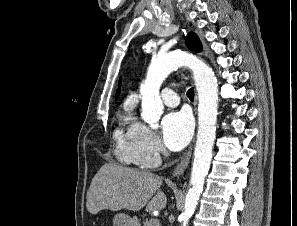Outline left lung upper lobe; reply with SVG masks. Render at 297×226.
I'll return each instance as SVG.
<instances>
[{
	"mask_svg": "<svg viewBox=\"0 0 297 226\" xmlns=\"http://www.w3.org/2000/svg\"><path fill=\"white\" fill-rule=\"evenodd\" d=\"M186 45L195 52L202 50V45L199 38L194 33H189L186 37Z\"/></svg>",
	"mask_w": 297,
	"mask_h": 226,
	"instance_id": "obj_1",
	"label": "left lung upper lobe"
}]
</instances>
